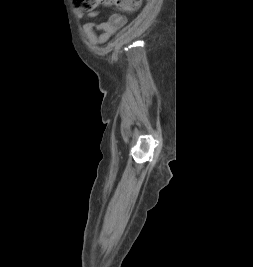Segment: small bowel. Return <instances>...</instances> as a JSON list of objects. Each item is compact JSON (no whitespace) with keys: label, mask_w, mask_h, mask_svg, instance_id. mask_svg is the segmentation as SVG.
<instances>
[{"label":"small bowel","mask_w":253,"mask_h":267,"mask_svg":"<svg viewBox=\"0 0 253 267\" xmlns=\"http://www.w3.org/2000/svg\"><path fill=\"white\" fill-rule=\"evenodd\" d=\"M93 16L94 14H90ZM126 24V17L111 14L104 22H87L84 32L92 45H102Z\"/></svg>","instance_id":"small-bowel-1"}]
</instances>
